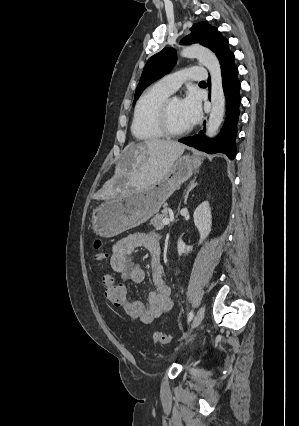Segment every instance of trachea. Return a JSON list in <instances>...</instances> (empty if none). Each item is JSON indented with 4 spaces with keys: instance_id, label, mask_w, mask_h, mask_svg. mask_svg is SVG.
<instances>
[{
    "instance_id": "obj_1",
    "label": "trachea",
    "mask_w": 299,
    "mask_h": 426,
    "mask_svg": "<svg viewBox=\"0 0 299 426\" xmlns=\"http://www.w3.org/2000/svg\"><path fill=\"white\" fill-rule=\"evenodd\" d=\"M200 83H205L204 81H201Z\"/></svg>"
}]
</instances>
